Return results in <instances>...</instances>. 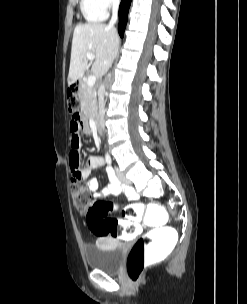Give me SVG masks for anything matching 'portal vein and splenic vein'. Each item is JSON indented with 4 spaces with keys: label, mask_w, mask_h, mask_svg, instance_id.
<instances>
[{
    "label": "portal vein and splenic vein",
    "mask_w": 247,
    "mask_h": 304,
    "mask_svg": "<svg viewBox=\"0 0 247 304\" xmlns=\"http://www.w3.org/2000/svg\"><path fill=\"white\" fill-rule=\"evenodd\" d=\"M86 57H87V59H89L90 61H93V59H94V54L91 53V52H88V53L86 54ZM95 82H96V76H94V75L88 76V78H87V84H88L89 87H93V86L95 85Z\"/></svg>",
    "instance_id": "obj_1"
}]
</instances>
